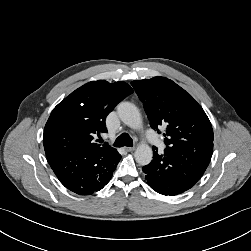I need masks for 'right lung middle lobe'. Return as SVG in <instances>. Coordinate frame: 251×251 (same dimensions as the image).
<instances>
[{
	"label": "right lung middle lobe",
	"instance_id": "obj_1",
	"mask_svg": "<svg viewBox=\"0 0 251 251\" xmlns=\"http://www.w3.org/2000/svg\"><path fill=\"white\" fill-rule=\"evenodd\" d=\"M52 144L56 149L68 147L70 145V137L64 133H57L53 136Z\"/></svg>",
	"mask_w": 251,
	"mask_h": 251
}]
</instances>
